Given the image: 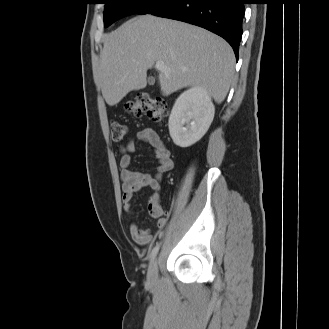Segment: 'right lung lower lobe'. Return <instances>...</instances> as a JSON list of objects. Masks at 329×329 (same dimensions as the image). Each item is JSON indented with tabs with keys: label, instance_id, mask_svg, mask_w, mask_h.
Here are the masks:
<instances>
[{
	"label": "right lung lower lobe",
	"instance_id": "98d812e1",
	"mask_svg": "<svg viewBox=\"0 0 329 329\" xmlns=\"http://www.w3.org/2000/svg\"><path fill=\"white\" fill-rule=\"evenodd\" d=\"M244 0H172L152 15L203 27L224 38L238 59Z\"/></svg>",
	"mask_w": 329,
	"mask_h": 329
}]
</instances>
